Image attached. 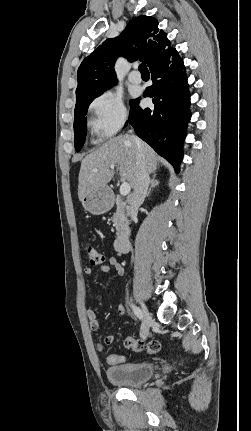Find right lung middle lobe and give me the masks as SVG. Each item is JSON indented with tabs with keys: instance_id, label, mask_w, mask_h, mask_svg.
I'll return each mask as SVG.
<instances>
[{
	"instance_id": "1",
	"label": "right lung middle lobe",
	"mask_w": 251,
	"mask_h": 431,
	"mask_svg": "<svg viewBox=\"0 0 251 431\" xmlns=\"http://www.w3.org/2000/svg\"><path fill=\"white\" fill-rule=\"evenodd\" d=\"M111 87V86H110ZM108 87V88H110ZM99 90L93 93H89L80 97H76L75 106V118H74V143L76 151H80L86 136V114L90 103L98 96H100L105 90Z\"/></svg>"
}]
</instances>
